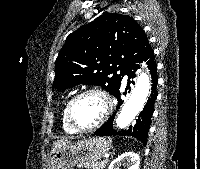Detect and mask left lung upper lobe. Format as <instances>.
Returning a JSON list of instances; mask_svg holds the SVG:
<instances>
[{"mask_svg":"<svg viewBox=\"0 0 200 169\" xmlns=\"http://www.w3.org/2000/svg\"><path fill=\"white\" fill-rule=\"evenodd\" d=\"M149 48L145 32L130 16L101 15L68 35L55 62L52 88L99 84L114 95L122 76Z\"/></svg>","mask_w":200,"mask_h":169,"instance_id":"obj_1","label":"left lung upper lobe"}]
</instances>
